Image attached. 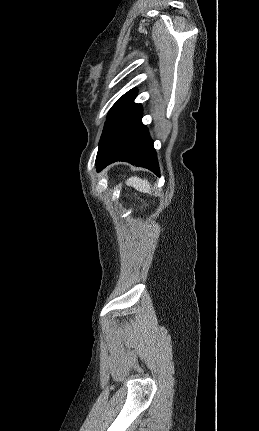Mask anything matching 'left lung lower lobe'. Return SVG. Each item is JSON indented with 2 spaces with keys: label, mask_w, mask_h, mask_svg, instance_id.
<instances>
[{
  "label": "left lung lower lobe",
  "mask_w": 259,
  "mask_h": 431,
  "mask_svg": "<svg viewBox=\"0 0 259 431\" xmlns=\"http://www.w3.org/2000/svg\"><path fill=\"white\" fill-rule=\"evenodd\" d=\"M142 106L127 115L100 146L96 158L97 171L115 161H126L144 167L160 176L156 151L148 129L141 122Z\"/></svg>",
  "instance_id": "1"
}]
</instances>
